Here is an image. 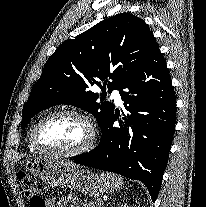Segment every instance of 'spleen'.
Listing matches in <instances>:
<instances>
[{"label": "spleen", "mask_w": 206, "mask_h": 207, "mask_svg": "<svg viewBox=\"0 0 206 207\" xmlns=\"http://www.w3.org/2000/svg\"><path fill=\"white\" fill-rule=\"evenodd\" d=\"M101 176L105 178H109L111 180L113 189H116V190L120 189L123 185V179L120 176H117L115 174H110V173H107V174L102 173Z\"/></svg>", "instance_id": "obj_1"}]
</instances>
